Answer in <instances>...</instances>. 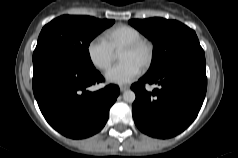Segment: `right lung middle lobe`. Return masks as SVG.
<instances>
[{
	"instance_id": "dd1d6c3e",
	"label": "right lung middle lobe",
	"mask_w": 238,
	"mask_h": 158,
	"mask_svg": "<svg viewBox=\"0 0 238 158\" xmlns=\"http://www.w3.org/2000/svg\"><path fill=\"white\" fill-rule=\"evenodd\" d=\"M114 22L90 16H60L43 27L33 59L45 53H53L81 68L95 69L88 51L89 44Z\"/></svg>"
}]
</instances>
